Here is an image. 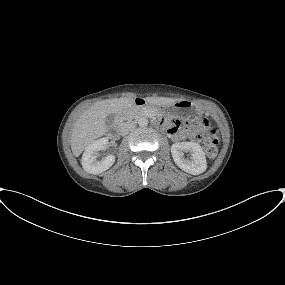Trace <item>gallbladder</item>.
<instances>
[{
  "mask_svg": "<svg viewBox=\"0 0 285 285\" xmlns=\"http://www.w3.org/2000/svg\"><path fill=\"white\" fill-rule=\"evenodd\" d=\"M114 121H115V115L114 114H109L105 120L107 126L112 125L114 123Z\"/></svg>",
  "mask_w": 285,
  "mask_h": 285,
  "instance_id": "gallbladder-1",
  "label": "gallbladder"
}]
</instances>
